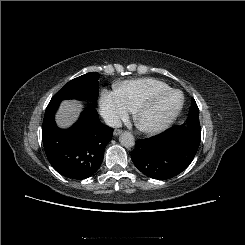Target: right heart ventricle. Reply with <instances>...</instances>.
I'll return each instance as SVG.
<instances>
[{
	"label": "right heart ventricle",
	"mask_w": 245,
	"mask_h": 245,
	"mask_svg": "<svg viewBox=\"0 0 245 245\" xmlns=\"http://www.w3.org/2000/svg\"><path fill=\"white\" fill-rule=\"evenodd\" d=\"M168 89L167 83L154 78L128 80L115 85V91L131 109L144 98Z\"/></svg>",
	"instance_id": "obj_1"
}]
</instances>
